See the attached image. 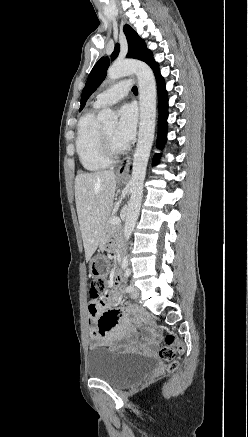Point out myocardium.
Returning <instances> with one entry per match:
<instances>
[{"label":"myocardium","mask_w":248,"mask_h":437,"mask_svg":"<svg viewBox=\"0 0 248 437\" xmlns=\"http://www.w3.org/2000/svg\"><path fill=\"white\" fill-rule=\"evenodd\" d=\"M101 148L104 155L110 160L118 157L126 151V147L124 145L121 147H116L107 136L103 128H101Z\"/></svg>","instance_id":"f54148a6"}]
</instances>
